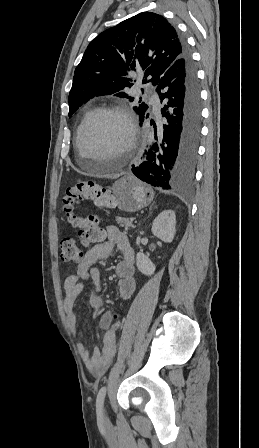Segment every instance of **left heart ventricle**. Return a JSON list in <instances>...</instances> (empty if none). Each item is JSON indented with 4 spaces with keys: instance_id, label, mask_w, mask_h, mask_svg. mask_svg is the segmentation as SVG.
<instances>
[{
    "instance_id": "obj_1",
    "label": "left heart ventricle",
    "mask_w": 259,
    "mask_h": 448,
    "mask_svg": "<svg viewBox=\"0 0 259 448\" xmlns=\"http://www.w3.org/2000/svg\"><path fill=\"white\" fill-rule=\"evenodd\" d=\"M128 138L125 120L112 113L100 117L87 130L82 162H105L117 156V148Z\"/></svg>"
}]
</instances>
